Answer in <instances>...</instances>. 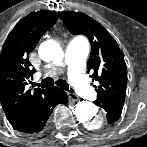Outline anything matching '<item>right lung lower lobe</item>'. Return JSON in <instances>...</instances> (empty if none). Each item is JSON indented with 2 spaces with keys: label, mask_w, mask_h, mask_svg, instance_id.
<instances>
[{
  "label": "right lung lower lobe",
  "mask_w": 147,
  "mask_h": 147,
  "mask_svg": "<svg viewBox=\"0 0 147 147\" xmlns=\"http://www.w3.org/2000/svg\"><path fill=\"white\" fill-rule=\"evenodd\" d=\"M67 94L58 87L46 89L44 94L18 117L9 120L14 129L36 135L40 133L57 104H65Z\"/></svg>",
  "instance_id": "obj_1"
}]
</instances>
